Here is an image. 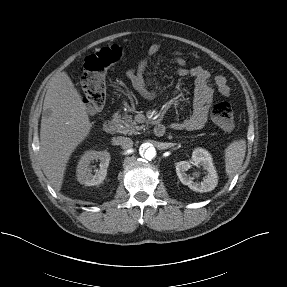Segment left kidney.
Here are the masks:
<instances>
[{
  "instance_id": "left-kidney-1",
  "label": "left kidney",
  "mask_w": 287,
  "mask_h": 287,
  "mask_svg": "<svg viewBox=\"0 0 287 287\" xmlns=\"http://www.w3.org/2000/svg\"><path fill=\"white\" fill-rule=\"evenodd\" d=\"M192 164L195 166H202L203 169L207 171L202 182H194L192 178L186 174V171L191 168ZM176 173L181 183L187 185L195 192L203 193L212 191L218 182V176L212 162V157L210 153L203 148L194 149L190 161L177 162Z\"/></svg>"
}]
</instances>
